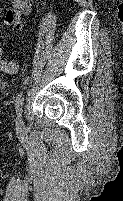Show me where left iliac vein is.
<instances>
[{
    "instance_id": "left-iliac-vein-1",
    "label": "left iliac vein",
    "mask_w": 123,
    "mask_h": 201,
    "mask_svg": "<svg viewBox=\"0 0 123 201\" xmlns=\"http://www.w3.org/2000/svg\"><path fill=\"white\" fill-rule=\"evenodd\" d=\"M24 127V123H23V120L21 118V115H18V117L16 118V128L17 130H22Z\"/></svg>"
}]
</instances>
